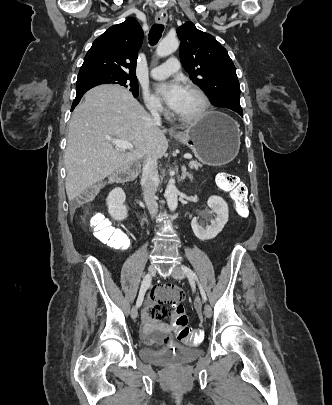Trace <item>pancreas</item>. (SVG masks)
<instances>
[{
    "mask_svg": "<svg viewBox=\"0 0 332 405\" xmlns=\"http://www.w3.org/2000/svg\"><path fill=\"white\" fill-rule=\"evenodd\" d=\"M189 166H190L191 168L198 169L199 167H201V164L198 163L197 161H191V162L189 163Z\"/></svg>",
    "mask_w": 332,
    "mask_h": 405,
    "instance_id": "1",
    "label": "pancreas"
}]
</instances>
